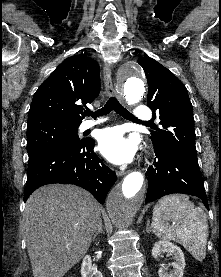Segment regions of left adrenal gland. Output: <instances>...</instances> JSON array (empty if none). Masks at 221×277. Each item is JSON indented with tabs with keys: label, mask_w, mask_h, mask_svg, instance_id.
Segmentation results:
<instances>
[{
	"label": "left adrenal gland",
	"mask_w": 221,
	"mask_h": 277,
	"mask_svg": "<svg viewBox=\"0 0 221 277\" xmlns=\"http://www.w3.org/2000/svg\"><path fill=\"white\" fill-rule=\"evenodd\" d=\"M146 232H152V229L150 228V220H147V227H146Z\"/></svg>",
	"instance_id": "a2214340"
}]
</instances>
